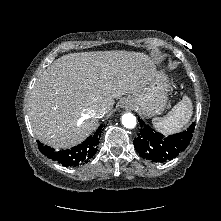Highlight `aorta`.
Instances as JSON below:
<instances>
[{"mask_svg":"<svg viewBox=\"0 0 221 221\" xmlns=\"http://www.w3.org/2000/svg\"><path fill=\"white\" fill-rule=\"evenodd\" d=\"M122 124L125 128L133 129L136 126V117L132 113L122 115Z\"/></svg>","mask_w":221,"mask_h":221,"instance_id":"aorta-1","label":"aorta"}]
</instances>
